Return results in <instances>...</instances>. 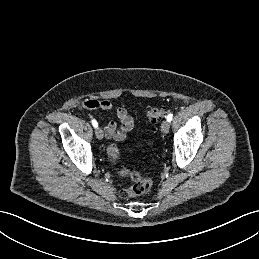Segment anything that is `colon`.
Returning a JSON list of instances; mask_svg holds the SVG:
<instances>
[{"label": "colon", "mask_w": 259, "mask_h": 259, "mask_svg": "<svg viewBox=\"0 0 259 259\" xmlns=\"http://www.w3.org/2000/svg\"><path fill=\"white\" fill-rule=\"evenodd\" d=\"M166 115V109L164 107H152L147 110L146 117L152 123L156 124L161 121ZM107 155L110 162L116 166L120 160V151L114 144L110 145L107 149ZM118 173L121 176H129L133 184L121 191L123 198H129L133 196H140L147 193L151 188V180L149 177L143 175L137 171H130L127 169L117 168Z\"/></svg>", "instance_id": "obj_1"}]
</instances>
